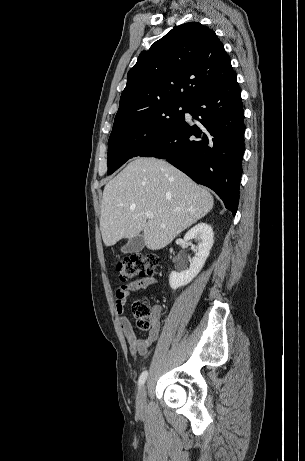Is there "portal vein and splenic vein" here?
Instances as JSON below:
<instances>
[{
	"instance_id": "portal-vein-and-splenic-vein-1",
	"label": "portal vein and splenic vein",
	"mask_w": 305,
	"mask_h": 461,
	"mask_svg": "<svg viewBox=\"0 0 305 461\" xmlns=\"http://www.w3.org/2000/svg\"><path fill=\"white\" fill-rule=\"evenodd\" d=\"M153 216H154V215H153L152 212H146V217H147L148 219H152Z\"/></svg>"
}]
</instances>
